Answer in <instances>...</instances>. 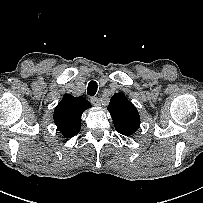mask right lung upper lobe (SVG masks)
I'll return each mask as SVG.
<instances>
[{
    "label": "right lung upper lobe",
    "mask_w": 203,
    "mask_h": 203,
    "mask_svg": "<svg viewBox=\"0 0 203 203\" xmlns=\"http://www.w3.org/2000/svg\"><path fill=\"white\" fill-rule=\"evenodd\" d=\"M91 104L82 96L65 94L54 111V122L65 138H72L81 129V115Z\"/></svg>",
    "instance_id": "1"
}]
</instances>
